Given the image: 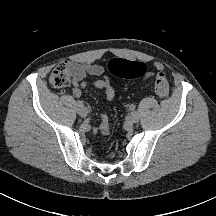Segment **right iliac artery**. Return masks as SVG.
Masks as SVG:
<instances>
[{"label": "right iliac artery", "instance_id": "82829eb1", "mask_svg": "<svg viewBox=\"0 0 216 216\" xmlns=\"http://www.w3.org/2000/svg\"><path fill=\"white\" fill-rule=\"evenodd\" d=\"M77 106L79 107H83L84 106V102L83 101H77Z\"/></svg>", "mask_w": 216, "mask_h": 216}]
</instances>
